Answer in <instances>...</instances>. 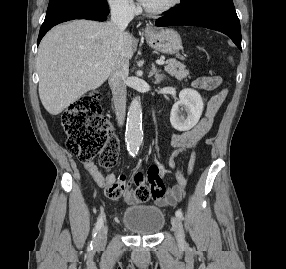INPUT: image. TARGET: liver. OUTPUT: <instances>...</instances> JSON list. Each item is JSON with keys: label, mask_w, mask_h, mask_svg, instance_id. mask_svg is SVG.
<instances>
[{"label": "liver", "mask_w": 286, "mask_h": 269, "mask_svg": "<svg viewBox=\"0 0 286 269\" xmlns=\"http://www.w3.org/2000/svg\"><path fill=\"white\" fill-rule=\"evenodd\" d=\"M124 52L112 22L74 20L51 29L37 54L39 96L51 115H58L112 75L121 57L129 61L134 39L125 32Z\"/></svg>", "instance_id": "6515ba94"}]
</instances>
